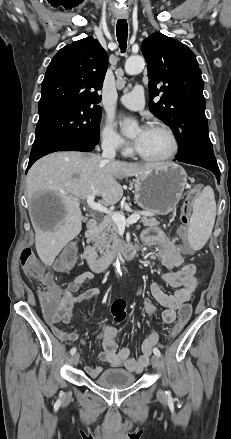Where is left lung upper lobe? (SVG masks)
<instances>
[{
  "mask_svg": "<svg viewBox=\"0 0 231 439\" xmlns=\"http://www.w3.org/2000/svg\"><path fill=\"white\" fill-rule=\"evenodd\" d=\"M149 107L167 124L179 142L177 157L203 155L215 159L205 116L204 82L194 53L183 43L161 33L144 40ZM161 99L154 103V97Z\"/></svg>",
  "mask_w": 231,
  "mask_h": 439,
  "instance_id": "obj_1",
  "label": "left lung upper lobe"
}]
</instances>
